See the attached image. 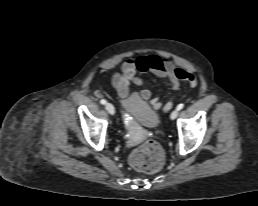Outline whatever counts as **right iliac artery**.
<instances>
[{"label": "right iliac artery", "mask_w": 258, "mask_h": 206, "mask_svg": "<svg viewBox=\"0 0 258 206\" xmlns=\"http://www.w3.org/2000/svg\"><path fill=\"white\" fill-rule=\"evenodd\" d=\"M100 103L104 105V104L107 103V101H106L105 99H101V100H100Z\"/></svg>", "instance_id": "right-iliac-artery-1"}]
</instances>
